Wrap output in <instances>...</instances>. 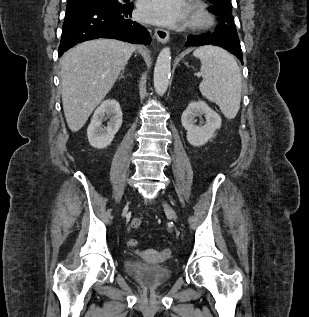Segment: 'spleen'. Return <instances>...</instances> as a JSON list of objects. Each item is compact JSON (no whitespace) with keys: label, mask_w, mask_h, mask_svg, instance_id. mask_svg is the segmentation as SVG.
Wrapping results in <instances>:
<instances>
[{"label":"spleen","mask_w":309,"mask_h":317,"mask_svg":"<svg viewBox=\"0 0 309 317\" xmlns=\"http://www.w3.org/2000/svg\"><path fill=\"white\" fill-rule=\"evenodd\" d=\"M193 55L201 61V94L216 103L226 118H235L240 108L242 89L237 62L228 52L215 46L199 47Z\"/></svg>","instance_id":"1"}]
</instances>
